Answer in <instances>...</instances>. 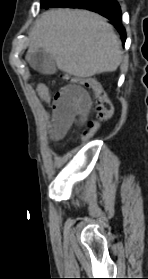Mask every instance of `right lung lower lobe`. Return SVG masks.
<instances>
[{"label": "right lung lower lobe", "mask_w": 148, "mask_h": 279, "mask_svg": "<svg viewBox=\"0 0 148 279\" xmlns=\"http://www.w3.org/2000/svg\"><path fill=\"white\" fill-rule=\"evenodd\" d=\"M48 7H70L94 11L111 20V24L121 34L123 44L126 40V31L122 26L121 9L116 0H50Z\"/></svg>", "instance_id": "98d812e1"}]
</instances>
